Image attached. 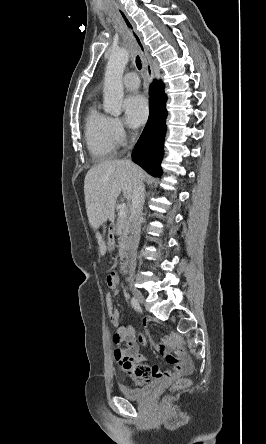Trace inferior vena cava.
I'll return each mask as SVG.
<instances>
[{
	"label": "inferior vena cava",
	"instance_id": "1",
	"mask_svg": "<svg viewBox=\"0 0 266 444\" xmlns=\"http://www.w3.org/2000/svg\"><path fill=\"white\" fill-rule=\"evenodd\" d=\"M135 137L132 139L134 142ZM132 204L130 209V248H131V259H130V269H134L136 266V251L140 240V229H141V218L143 205L145 201V186L142 180H138L134 192L132 195Z\"/></svg>",
	"mask_w": 266,
	"mask_h": 444
}]
</instances>
